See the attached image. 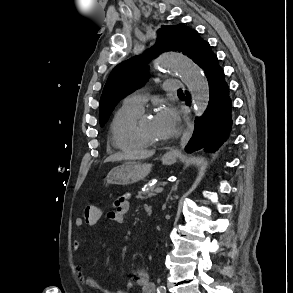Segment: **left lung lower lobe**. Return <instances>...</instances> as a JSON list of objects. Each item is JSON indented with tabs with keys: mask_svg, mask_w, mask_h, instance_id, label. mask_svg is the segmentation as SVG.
I'll return each mask as SVG.
<instances>
[{
	"mask_svg": "<svg viewBox=\"0 0 293 293\" xmlns=\"http://www.w3.org/2000/svg\"><path fill=\"white\" fill-rule=\"evenodd\" d=\"M196 63L205 72L210 97L206 111L195 120V130L186 151L194 152L204 148L206 152H215L227 139L232 126L229 87L224 80V71L218 65V59L208 42L202 47ZM185 98L190 105V94L186 93Z\"/></svg>",
	"mask_w": 293,
	"mask_h": 293,
	"instance_id": "obj_1",
	"label": "left lung lower lobe"
}]
</instances>
